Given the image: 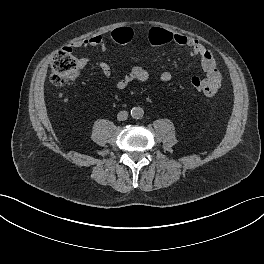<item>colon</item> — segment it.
<instances>
[{"mask_svg":"<svg viewBox=\"0 0 264 264\" xmlns=\"http://www.w3.org/2000/svg\"><path fill=\"white\" fill-rule=\"evenodd\" d=\"M132 31L130 28L121 27L113 30L110 34V40L114 44L124 45L132 40ZM148 39L153 46H162L171 42V33L160 27L150 29ZM82 66L79 60L73 55L72 49L65 47L61 49L54 57L51 64L50 81L56 86H63L70 81L75 80ZM190 85L193 89L206 95L207 83L199 77H192Z\"/></svg>","mask_w":264,"mask_h":264,"instance_id":"colon-1","label":"colon"}]
</instances>
